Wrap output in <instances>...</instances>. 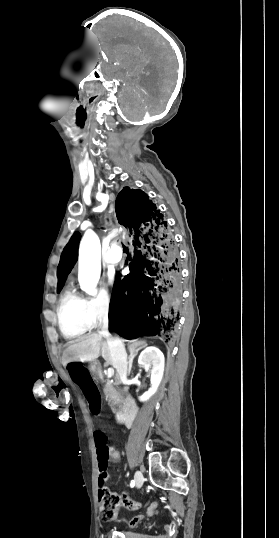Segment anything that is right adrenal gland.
Segmentation results:
<instances>
[{
  "label": "right adrenal gland",
  "instance_id": "1",
  "mask_svg": "<svg viewBox=\"0 0 279 538\" xmlns=\"http://www.w3.org/2000/svg\"><path fill=\"white\" fill-rule=\"evenodd\" d=\"M138 350H135V348H133V350H130V356L128 358L129 362V368H128V374H130L131 372V368H132V364H133V358H135L136 354H137Z\"/></svg>",
  "mask_w": 279,
  "mask_h": 538
}]
</instances>
